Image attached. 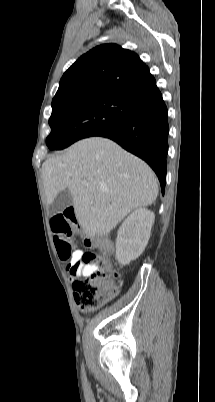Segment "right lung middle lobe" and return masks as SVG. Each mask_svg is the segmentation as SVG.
I'll list each match as a JSON object with an SVG mask.
<instances>
[{
	"label": "right lung middle lobe",
	"mask_w": 215,
	"mask_h": 402,
	"mask_svg": "<svg viewBox=\"0 0 215 402\" xmlns=\"http://www.w3.org/2000/svg\"><path fill=\"white\" fill-rule=\"evenodd\" d=\"M137 104L107 93L52 100L51 133L46 144L51 150H60L80 139L108 132L123 122Z\"/></svg>",
	"instance_id": "obj_1"
}]
</instances>
